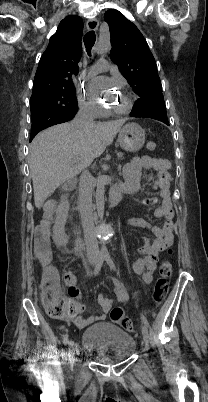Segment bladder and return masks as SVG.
<instances>
[{
	"instance_id": "31cf9c89",
	"label": "bladder",
	"mask_w": 208,
	"mask_h": 402,
	"mask_svg": "<svg viewBox=\"0 0 208 402\" xmlns=\"http://www.w3.org/2000/svg\"><path fill=\"white\" fill-rule=\"evenodd\" d=\"M82 342L83 348L97 360L107 363H119L132 354L136 346L132 335L112 323H97L84 330Z\"/></svg>"
}]
</instances>
